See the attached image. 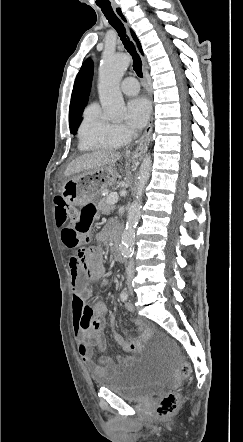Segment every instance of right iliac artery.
<instances>
[{
    "instance_id": "right-iliac-artery-1",
    "label": "right iliac artery",
    "mask_w": 243,
    "mask_h": 442,
    "mask_svg": "<svg viewBox=\"0 0 243 442\" xmlns=\"http://www.w3.org/2000/svg\"><path fill=\"white\" fill-rule=\"evenodd\" d=\"M120 298H121L122 301H126L128 299V293L126 291H123L120 294Z\"/></svg>"
}]
</instances>
